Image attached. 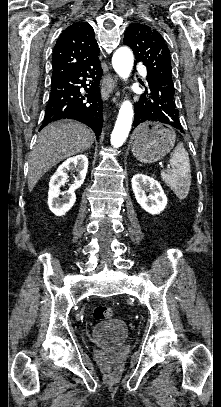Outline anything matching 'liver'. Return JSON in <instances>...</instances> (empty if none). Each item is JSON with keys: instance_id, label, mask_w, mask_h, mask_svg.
<instances>
[{"instance_id": "1", "label": "liver", "mask_w": 221, "mask_h": 407, "mask_svg": "<svg viewBox=\"0 0 221 407\" xmlns=\"http://www.w3.org/2000/svg\"><path fill=\"white\" fill-rule=\"evenodd\" d=\"M94 133L87 126L70 120L47 125L38 135L30 154L28 189L60 161L81 153L93 144Z\"/></svg>"}]
</instances>
